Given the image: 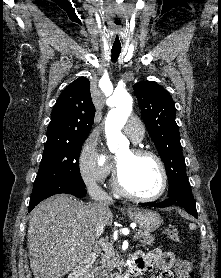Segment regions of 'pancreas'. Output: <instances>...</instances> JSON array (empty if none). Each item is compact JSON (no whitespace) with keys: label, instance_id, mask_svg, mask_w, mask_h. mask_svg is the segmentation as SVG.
<instances>
[{"label":"pancreas","instance_id":"cf45deb5","mask_svg":"<svg viewBox=\"0 0 221 278\" xmlns=\"http://www.w3.org/2000/svg\"><path fill=\"white\" fill-rule=\"evenodd\" d=\"M135 236V239L139 240L143 245H153L154 243L155 237L148 232L138 230ZM121 265L122 261L120 260L118 252L110 245L109 248L102 253L100 265L93 269V274L96 278H110L113 269Z\"/></svg>","mask_w":221,"mask_h":278}]
</instances>
